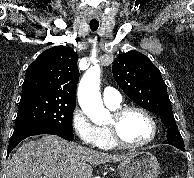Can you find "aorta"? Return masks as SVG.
Returning a JSON list of instances; mask_svg holds the SVG:
<instances>
[{
    "mask_svg": "<svg viewBox=\"0 0 194 178\" xmlns=\"http://www.w3.org/2000/svg\"><path fill=\"white\" fill-rule=\"evenodd\" d=\"M100 74L98 65L89 68L78 86V101L84 113L96 124H102L109 116L100 94Z\"/></svg>",
    "mask_w": 194,
    "mask_h": 178,
    "instance_id": "762f6f07",
    "label": "aorta"
}]
</instances>
